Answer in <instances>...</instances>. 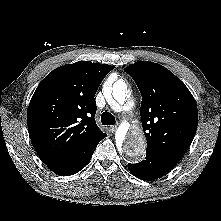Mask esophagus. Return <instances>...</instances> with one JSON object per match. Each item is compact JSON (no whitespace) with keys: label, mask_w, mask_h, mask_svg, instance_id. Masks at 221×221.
<instances>
[{"label":"esophagus","mask_w":221,"mask_h":221,"mask_svg":"<svg viewBox=\"0 0 221 221\" xmlns=\"http://www.w3.org/2000/svg\"><path fill=\"white\" fill-rule=\"evenodd\" d=\"M109 129L111 132H115V130L117 129V126L116 125L111 126Z\"/></svg>","instance_id":"esophagus-1"}]
</instances>
